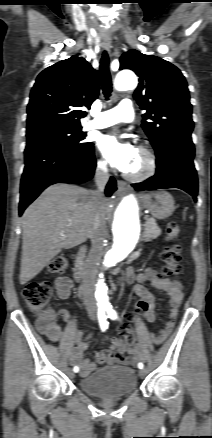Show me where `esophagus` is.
<instances>
[{
	"mask_svg": "<svg viewBox=\"0 0 212 438\" xmlns=\"http://www.w3.org/2000/svg\"><path fill=\"white\" fill-rule=\"evenodd\" d=\"M103 46L105 48H109L110 47V43L109 42H105V43H103ZM117 185H118V189L120 191H125L126 190V182H124L122 180H118L117 181Z\"/></svg>",
	"mask_w": 212,
	"mask_h": 438,
	"instance_id": "obj_1",
	"label": "esophagus"
}]
</instances>
